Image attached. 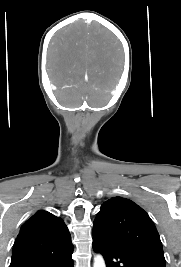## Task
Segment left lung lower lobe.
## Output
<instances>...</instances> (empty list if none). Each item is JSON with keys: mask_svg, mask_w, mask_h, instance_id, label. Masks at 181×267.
I'll return each mask as SVG.
<instances>
[{"mask_svg": "<svg viewBox=\"0 0 181 267\" xmlns=\"http://www.w3.org/2000/svg\"><path fill=\"white\" fill-rule=\"evenodd\" d=\"M93 250L102 253L106 267H164L105 237L93 236Z\"/></svg>", "mask_w": 181, "mask_h": 267, "instance_id": "obj_1", "label": "left lung lower lobe"}]
</instances>
